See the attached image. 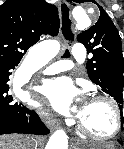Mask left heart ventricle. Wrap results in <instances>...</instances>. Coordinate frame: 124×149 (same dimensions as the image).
Masks as SVG:
<instances>
[{
	"instance_id": "b2bd125f",
	"label": "left heart ventricle",
	"mask_w": 124,
	"mask_h": 149,
	"mask_svg": "<svg viewBox=\"0 0 124 149\" xmlns=\"http://www.w3.org/2000/svg\"><path fill=\"white\" fill-rule=\"evenodd\" d=\"M79 118L89 130L97 135L106 136L115 129L114 111L105 101L89 102Z\"/></svg>"
}]
</instances>
